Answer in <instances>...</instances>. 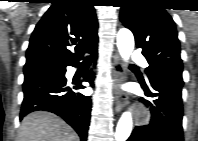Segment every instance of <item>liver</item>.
<instances>
[{
	"instance_id": "obj_1",
	"label": "liver",
	"mask_w": 198,
	"mask_h": 141,
	"mask_svg": "<svg viewBox=\"0 0 198 141\" xmlns=\"http://www.w3.org/2000/svg\"><path fill=\"white\" fill-rule=\"evenodd\" d=\"M75 131L60 117L44 111L22 120L17 141H78Z\"/></svg>"
}]
</instances>
